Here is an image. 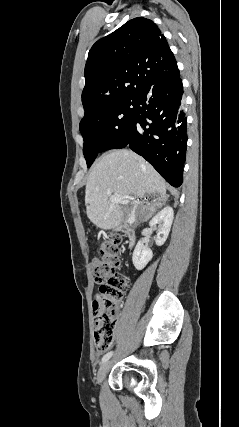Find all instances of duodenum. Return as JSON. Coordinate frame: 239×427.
I'll return each instance as SVG.
<instances>
[{
	"label": "duodenum",
	"mask_w": 239,
	"mask_h": 427,
	"mask_svg": "<svg viewBox=\"0 0 239 427\" xmlns=\"http://www.w3.org/2000/svg\"><path fill=\"white\" fill-rule=\"evenodd\" d=\"M120 230L124 233L127 238V243L131 247L135 241V230L129 226L120 227Z\"/></svg>",
	"instance_id": "obj_1"
}]
</instances>
